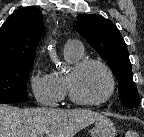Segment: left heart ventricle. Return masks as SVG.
<instances>
[{
	"label": "left heart ventricle",
	"instance_id": "1",
	"mask_svg": "<svg viewBox=\"0 0 144 137\" xmlns=\"http://www.w3.org/2000/svg\"><path fill=\"white\" fill-rule=\"evenodd\" d=\"M74 87L80 98L96 101L107 94L110 83L107 74L100 66L90 64L75 75Z\"/></svg>",
	"mask_w": 144,
	"mask_h": 137
}]
</instances>
